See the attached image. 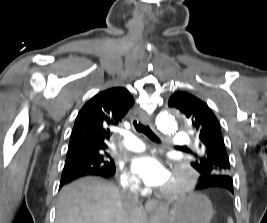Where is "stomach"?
I'll use <instances>...</instances> for the list:
<instances>
[{
    "label": "stomach",
    "mask_w": 267,
    "mask_h": 223,
    "mask_svg": "<svg viewBox=\"0 0 267 223\" xmlns=\"http://www.w3.org/2000/svg\"><path fill=\"white\" fill-rule=\"evenodd\" d=\"M162 217L163 223H210L213 207L207 196L191 193L177 198Z\"/></svg>",
    "instance_id": "0dacf381"
}]
</instances>
